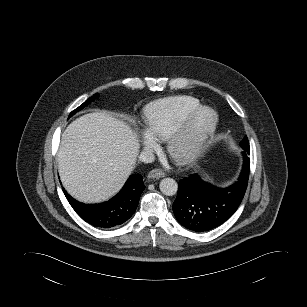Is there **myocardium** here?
<instances>
[{"label": "myocardium", "mask_w": 307, "mask_h": 307, "mask_svg": "<svg viewBox=\"0 0 307 307\" xmlns=\"http://www.w3.org/2000/svg\"><path fill=\"white\" fill-rule=\"evenodd\" d=\"M203 112L211 115L210 122L203 130L194 134L192 132L193 122ZM218 121V114L211 107L200 105L190 111L166 139V151L169 156L180 164L194 161L215 133Z\"/></svg>", "instance_id": "myocardium-1"}]
</instances>
